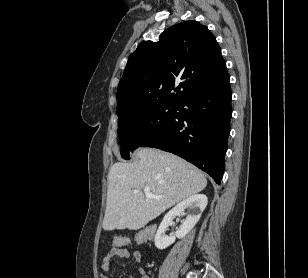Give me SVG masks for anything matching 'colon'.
I'll return each mask as SVG.
<instances>
[{
    "instance_id": "1",
    "label": "colon",
    "mask_w": 308,
    "mask_h": 278,
    "mask_svg": "<svg viewBox=\"0 0 308 278\" xmlns=\"http://www.w3.org/2000/svg\"><path fill=\"white\" fill-rule=\"evenodd\" d=\"M157 231V226H146L145 230L139 231V235H134V242H154ZM112 243L115 247H124L129 244V239L124 236H115Z\"/></svg>"
}]
</instances>
